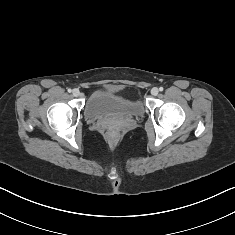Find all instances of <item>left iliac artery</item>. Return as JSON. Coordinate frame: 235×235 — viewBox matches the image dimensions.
<instances>
[{
  "mask_svg": "<svg viewBox=\"0 0 235 235\" xmlns=\"http://www.w3.org/2000/svg\"><path fill=\"white\" fill-rule=\"evenodd\" d=\"M159 90H160V91H163L164 89H163V87H160Z\"/></svg>",
  "mask_w": 235,
  "mask_h": 235,
  "instance_id": "1",
  "label": "left iliac artery"
}]
</instances>
